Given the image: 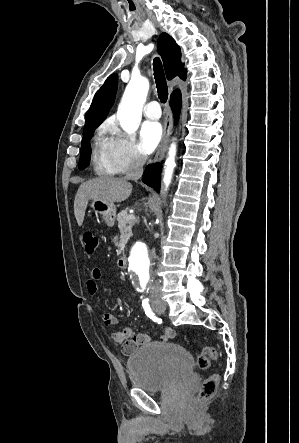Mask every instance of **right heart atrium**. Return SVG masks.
<instances>
[{"mask_svg": "<svg viewBox=\"0 0 299 443\" xmlns=\"http://www.w3.org/2000/svg\"><path fill=\"white\" fill-rule=\"evenodd\" d=\"M103 130L111 134L112 158L118 173L141 168L146 157L134 140L122 133L114 123H107Z\"/></svg>", "mask_w": 299, "mask_h": 443, "instance_id": "obj_1", "label": "right heart atrium"}]
</instances>
